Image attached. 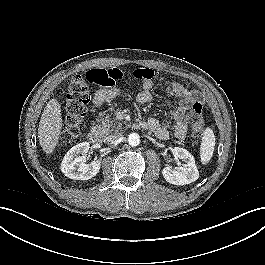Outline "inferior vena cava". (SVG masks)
Segmentation results:
<instances>
[{"mask_svg": "<svg viewBox=\"0 0 265 265\" xmlns=\"http://www.w3.org/2000/svg\"><path fill=\"white\" fill-rule=\"evenodd\" d=\"M121 134H113V135H109L105 138V142L107 144H115V143H118L119 140L121 139Z\"/></svg>", "mask_w": 265, "mask_h": 265, "instance_id": "602c4592", "label": "inferior vena cava"}]
</instances>
